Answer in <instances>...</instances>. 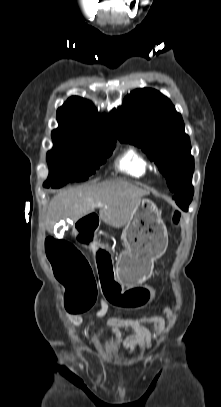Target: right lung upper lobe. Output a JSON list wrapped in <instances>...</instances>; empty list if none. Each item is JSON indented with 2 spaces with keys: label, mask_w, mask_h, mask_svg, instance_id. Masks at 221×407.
I'll return each instance as SVG.
<instances>
[{
  "label": "right lung upper lobe",
  "mask_w": 221,
  "mask_h": 407,
  "mask_svg": "<svg viewBox=\"0 0 221 407\" xmlns=\"http://www.w3.org/2000/svg\"><path fill=\"white\" fill-rule=\"evenodd\" d=\"M59 127L52 131L53 139L106 144L116 142V113L107 116L95 110L93 104L83 98L70 97L57 110Z\"/></svg>",
  "instance_id": "right-lung-upper-lobe-1"
}]
</instances>
